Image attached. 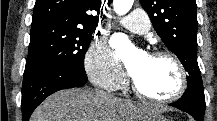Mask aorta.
<instances>
[{"label":"aorta","mask_w":217,"mask_h":121,"mask_svg":"<svg viewBox=\"0 0 217 121\" xmlns=\"http://www.w3.org/2000/svg\"><path fill=\"white\" fill-rule=\"evenodd\" d=\"M134 0H113L114 11L119 16H123L131 9Z\"/></svg>","instance_id":"obj_1"}]
</instances>
